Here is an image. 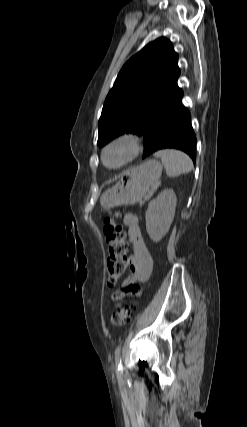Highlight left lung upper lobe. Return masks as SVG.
<instances>
[{
    "label": "left lung upper lobe",
    "mask_w": 247,
    "mask_h": 427,
    "mask_svg": "<svg viewBox=\"0 0 247 427\" xmlns=\"http://www.w3.org/2000/svg\"><path fill=\"white\" fill-rule=\"evenodd\" d=\"M177 59L172 43L161 37L124 64L104 102L99 146L124 133L143 135L151 121L183 94L177 85Z\"/></svg>",
    "instance_id": "5c2ea615"
}]
</instances>
